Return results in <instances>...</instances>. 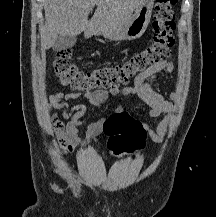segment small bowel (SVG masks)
<instances>
[{"instance_id": "small-bowel-1", "label": "small bowel", "mask_w": 216, "mask_h": 217, "mask_svg": "<svg viewBox=\"0 0 216 217\" xmlns=\"http://www.w3.org/2000/svg\"><path fill=\"white\" fill-rule=\"evenodd\" d=\"M173 69L174 65L171 61L162 60L140 73L135 78L133 86L97 89L85 93L79 91L63 93L59 91L52 94L49 97L50 107L61 110L63 118L68 120L64 130L65 145L70 150L85 144L99 145L98 136L104 131L105 124L111 116L100 117L90 122L83 140L78 136V127L84 123L83 117L86 113L87 104L101 108L110 97L114 96H134L140 105L147 107L149 115L152 117L164 114L165 117L155 129L150 128L146 122L138 120L153 142H163L169 130L174 104L178 99V95L176 92H171L170 100H166L161 94L152 89L151 83L159 75L169 74ZM81 97L82 100L80 101ZM71 102L75 103L70 105ZM116 113L122 114V108L119 107Z\"/></svg>"}]
</instances>
